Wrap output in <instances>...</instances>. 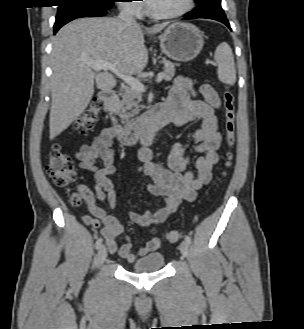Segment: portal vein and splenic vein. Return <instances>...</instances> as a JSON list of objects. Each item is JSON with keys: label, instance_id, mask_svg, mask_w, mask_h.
<instances>
[{"label": "portal vein and splenic vein", "instance_id": "1", "mask_svg": "<svg viewBox=\"0 0 304 329\" xmlns=\"http://www.w3.org/2000/svg\"><path fill=\"white\" fill-rule=\"evenodd\" d=\"M85 63L86 65L93 68L95 71L109 70L115 75H117L119 78H121L132 89L138 92H145V86L138 79L130 75L122 74L113 63L107 61H86ZM163 78H164V74L159 73L156 81L161 82Z\"/></svg>", "mask_w": 304, "mask_h": 329}]
</instances>
